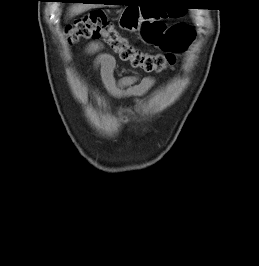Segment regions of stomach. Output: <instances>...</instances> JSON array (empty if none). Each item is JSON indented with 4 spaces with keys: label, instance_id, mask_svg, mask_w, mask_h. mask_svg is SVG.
<instances>
[{
    "label": "stomach",
    "instance_id": "stomach-1",
    "mask_svg": "<svg viewBox=\"0 0 259 266\" xmlns=\"http://www.w3.org/2000/svg\"><path fill=\"white\" fill-rule=\"evenodd\" d=\"M140 22L141 17L127 8L121 14L119 26L125 30L134 32L140 29Z\"/></svg>",
    "mask_w": 259,
    "mask_h": 266
}]
</instances>
